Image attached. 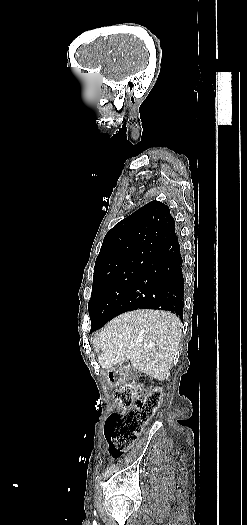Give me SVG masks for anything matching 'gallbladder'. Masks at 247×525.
<instances>
[{
  "label": "gallbladder",
  "mask_w": 247,
  "mask_h": 525,
  "mask_svg": "<svg viewBox=\"0 0 247 525\" xmlns=\"http://www.w3.org/2000/svg\"><path fill=\"white\" fill-rule=\"evenodd\" d=\"M137 372V369L135 367L130 368V373L135 374Z\"/></svg>",
  "instance_id": "bac80fb5"
}]
</instances>
